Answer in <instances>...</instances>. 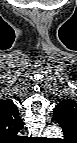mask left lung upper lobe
I'll return each mask as SVG.
<instances>
[{
    "label": "left lung upper lobe",
    "mask_w": 77,
    "mask_h": 143,
    "mask_svg": "<svg viewBox=\"0 0 77 143\" xmlns=\"http://www.w3.org/2000/svg\"><path fill=\"white\" fill-rule=\"evenodd\" d=\"M60 104H66L70 107V109H69V112L71 113V120L69 121L70 123H68V124L65 123L63 125H60L64 131L65 137L67 138L70 135V132L72 130V125H75V123L77 122V110H76L77 105L75 102H73L71 100H64V101L60 102L58 105H60ZM55 108H54L53 113L55 112Z\"/></svg>",
    "instance_id": "left-lung-upper-lobe-1"
}]
</instances>
